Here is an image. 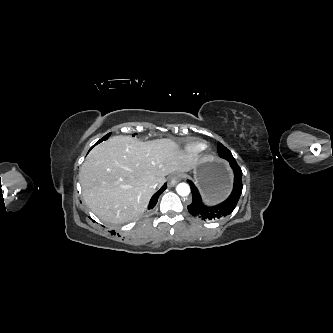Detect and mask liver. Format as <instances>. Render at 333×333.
Returning <instances> with one entry per match:
<instances>
[{
	"label": "liver",
	"mask_w": 333,
	"mask_h": 333,
	"mask_svg": "<svg viewBox=\"0 0 333 333\" xmlns=\"http://www.w3.org/2000/svg\"><path fill=\"white\" fill-rule=\"evenodd\" d=\"M199 164L171 139L140 142L113 136L95 146L80 168L83 199L103 221L120 224L141 215L155 193L152 186L172 172H188Z\"/></svg>",
	"instance_id": "obj_1"
}]
</instances>
